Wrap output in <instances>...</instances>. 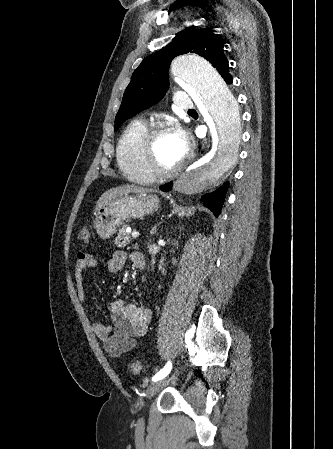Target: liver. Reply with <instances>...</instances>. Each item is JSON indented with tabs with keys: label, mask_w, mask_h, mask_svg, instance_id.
I'll use <instances>...</instances> for the list:
<instances>
[{
	"label": "liver",
	"mask_w": 333,
	"mask_h": 449,
	"mask_svg": "<svg viewBox=\"0 0 333 449\" xmlns=\"http://www.w3.org/2000/svg\"><path fill=\"white\" fill-rule=\"evenodd\" d=\"M152 190L143 189L140 187H137L135 185H121L118 187L111 188L104 192L101 197L99 198L97 204H96V211L101 208L108 200L121 197L123 195H128L130 193L135 194H146L151 192Z\"/></svg>",
	"instance_id": "liver-1"
}]
</instances>
